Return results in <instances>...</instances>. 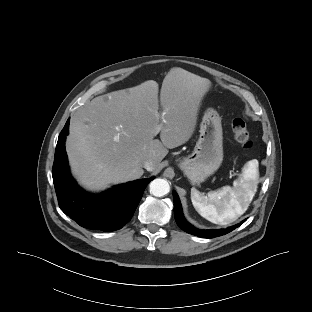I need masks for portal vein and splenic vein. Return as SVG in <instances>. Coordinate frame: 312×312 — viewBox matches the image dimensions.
<instances>
[{
	"label": "portal vein and splenic vein",
	"mask_w": 312,
	"mask_h": 312,
	"mask_svg": "<svg viewBox=\"0 0 312 312\" xmlns=\"http://www.w3.org/2000/svg\"><path fill=\"white\" fill-rule=\"evenodd\" d=\"M159 132H160V127L158 126L153 132L154 136H156Z\"/></svg>",
	"instance_id": "1"
}]
</instances>
